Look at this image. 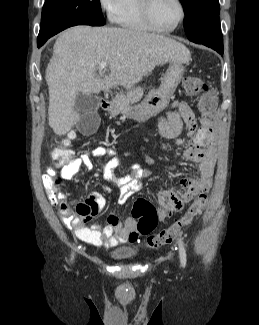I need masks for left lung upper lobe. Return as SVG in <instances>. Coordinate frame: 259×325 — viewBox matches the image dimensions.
<instances>
[{"mask_svg": "<svg viewBox=\"0 0 259 325\" xmlns=\"http://www.w3.org/2000/svg\"><path fill=\"white\" fill-rule=\"evenodd\" d=\"M184 12V29L189 40L197 42L221 31L219 0H180Z\"/></svg>", "mask_w": 259, "mask_h": 325, "instance_id": "5c2ea615", "label": "left lung upper lobe"}]
</instances>
